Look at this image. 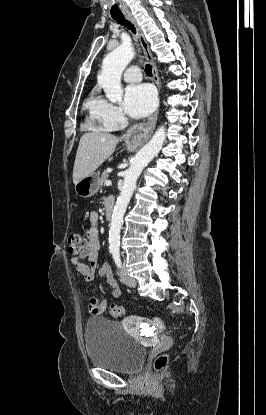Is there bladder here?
<instances>
[{"label":"bladder","mask_w":266,"mask_h":415,"mask_svg":"<svg viewBox=\"0 0 266 415\" xmlns=\"http://www.w3.org/2000/svg\"><path fill=\"white\" fill-rule=\"evenodd\" d=\"M85 344L92 365L121 373L137 372L147 354L120 323L102 316L87 320Z\"/></svg>","instance_id":"31cf9c89"}]
</instances>
